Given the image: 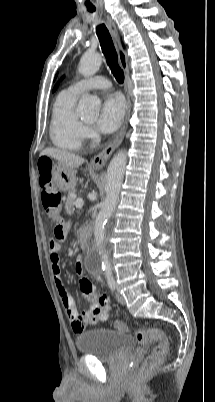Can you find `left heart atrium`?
<instances>
[{"label": "left heart atrium", "instance_id": "39dd6f15", "mask_svg": "<svg viewBox=\"0 0 215 402\" xmlns=\"http://www.w3.org/2000/svg\"><path fill=\"white\" fill-rule=\"evenodd\" d=\"M124 114L125 102L123 98L118 94H110L103 100L97 126L103 132H113L120 126Z\"/></svg>", "mask_w": 215, "mask_h": 402}]
</instances>
